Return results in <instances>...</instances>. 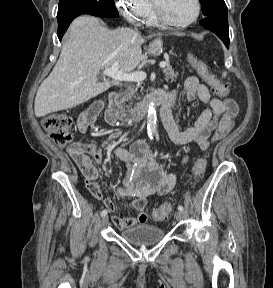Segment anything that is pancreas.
<instances>
[{
	"instance_id": "pancreas-1",
	"label": "pancreas",
	"mask_w": 273,
	"mask_h": 288,
	"mask_svg": "<svg viewBox=\"0 0 273 288\" xmlns=\"http://www.w3.org/2000/svg\"><path fill=\"white\" fill-rule=\"evenodd\" d=\"M164 75H165V79L167 81H175L178 73L174 71V69L172 68L171 65H167L166 68L164 69ZM140 87V83L137 84L136 86H132L128 89V93H126L125 97L123 98V100H131L133 97H135V94H137V90Z\"/></svg>"
}]
</instances>
